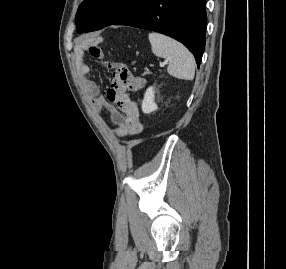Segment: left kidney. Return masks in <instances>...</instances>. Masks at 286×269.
<instances>
[{
  "label": "left kidney",
  "mask_w": 286,
  "mask_h": 269,
  "mask_svg": "<svg viewBox=\"0 0 286 269\" xmlns=\"http://www.w3.org/2000/svg\"><path fill=\"white\" fill-rule=\"evenodd\" d=\"M154 93V87H149L144 94V99L142 101V111L146 114L157 110V105L154 102Z\"/></svg>",
  "instance_id": "1"
}]
</instances>
